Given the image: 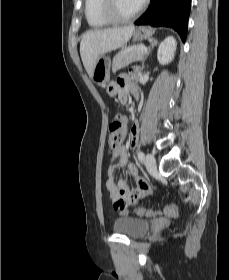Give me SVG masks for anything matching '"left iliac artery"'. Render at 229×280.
Wrapping results in <instances>:
<instances>
[{
	"label": "left iliac artery",
	"instance_id": "44dca946",
	"mask_svg": "<svg viewBox=\"0 0 229 280\" xmlns=\"http://www.w3.org/2000/svg\"><path fill=\"white\" fill-rule=\"evenodd\" d=\"M145 158V155L142 151L138 152V159L140 160V162H143Z\"/></svg>",
	"mask_w": 229,
	"mask_h": 280
}]
</instances>
